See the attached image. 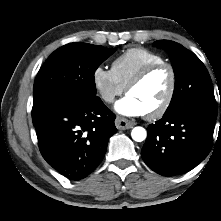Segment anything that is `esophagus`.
<instances>
[{
  "mask_svg": "<svg viewBox=\"0 0 221 221\" xmlns=\"http://www.w3.org/2000/svg\"><path fill=\"white\" fill-rule=\"evenodd\" d=\"M115 125H116L117 129L126 130V129L133 128L135 123L131 122V121H128L125 118L117 117L115 119Z\"/></svg>",
  "mask_w": 221,
  "mask_h": 221,
  "instance_id": "esophagus-1",
  "label": "esophagus"
}]
</instances>
